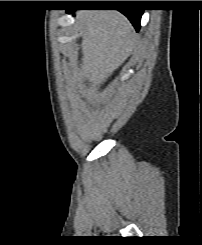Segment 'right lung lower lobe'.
<instances>
[{
	"label": "right lung lower lobe",
	"instance_id": "right-lung-lower-lobe-1",
	"mask_svg": "<svg viewBox=\"0 0 202 245\" xmlns=\"http://www.w3.org/2000/svg\"><path fill=\"white\" fill-rule=\"evenodd\" d=\"M67 11L68 12H72V11H75V10H67ZM118 11H120L126 17H128V19L131 21V23L136 28V30L137 31L139 30V28H140V19H141L143 10H139V9H120Z\"/></svg>",
	"mask_w": 202,
	"mask_h": 245
}]
</instances>
